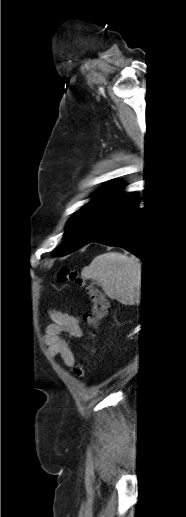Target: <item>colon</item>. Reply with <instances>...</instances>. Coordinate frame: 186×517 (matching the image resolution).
<instances>
[{
  "mask_svg": "<svg viewBox=\"0 0 186 517\" xmlns=\"http://www.w3.org/2000/svg\"><path fill=\"white\" fill-rule=\"evenodd\" d=\"M58 279L61 283H73L84 287L91 301V310L84 315V322L89 328L91 338L95 335V328L99 321L106 315L108 309V301L105 295L94 285L88 284L81 277L80 272L72 267H63L58 273ZM91 352V351H90ZM88 361L87 359L73 367L75 376L81 378L85 374Z\"/></svg>",
  "mask_w": 186,
  "mask_h": 517,
  "instance_id": "1",
  "label": "colon"
}]
</instances>
